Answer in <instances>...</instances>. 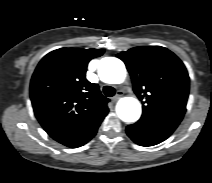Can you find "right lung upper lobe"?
I'll list each match as a JSON object with an SVG mask.
<instances>
[{"label": "right lung upper lobe", "instance_id": "obj_1", "mask_svg": "<svg viewBox=\"0 0 212 183\" xmlns=\"http://www.w3.org/2000/svg\"><path fill=\"white\" fill-rule=\"evenodd\" d=\"M103 49L61 48L38 64L30 85L34 113L56 141L72 147L93 135L108 113L109 99L85 74Z\"/></svg>", "mask_w": 212, "mask_h": 183}]
</instances>
